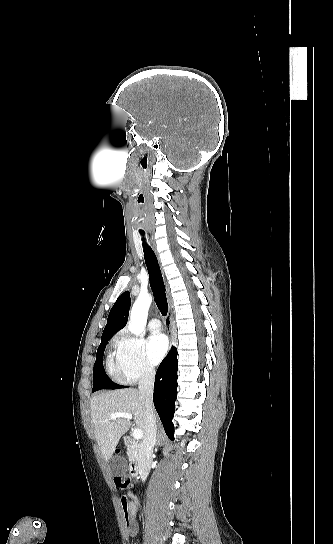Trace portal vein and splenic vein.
Segmentation results:
<instances>
[{"instance_id": "1", "label": "portal vein and splenic vein", "mask_w": 333, "mask_h": 544, "mask_svg": "<svg viewBox=\"0 0 333 544\" xmlns=\"http://www.w3.org/2000/svg\"><path fill=\"white\" fill-rule=\"evenodd\" d=\"M110 418L112 420L116 419V418H126V419H133V416L132 414H129V413H123V412H115V413H112ZM132 435H133V438L134 439H141L143 437V432L141 429H133L132 431Z\"/></svg>"}]
</instances>
